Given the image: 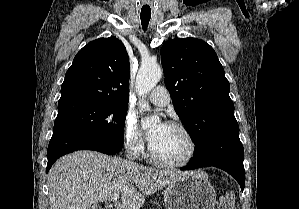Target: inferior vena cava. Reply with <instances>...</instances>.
I'll return each instance as SVG.
<instances>
[{
	"instance_id": "obj_1",
	"label": "inferior vena cava",
	"mask_w": 299,
	"mask_h": 209,
	"mask_svg": "<svg viewBox=\"0 0 299 209\" xmlns=\"http://www.w3.org/2000/svg\"><path fill=\"white\" fill-rule=\"evenodd\" d=\"M127 153H128V154H127V158H128L129 160H135V156H133V154H132L131 151H128Z\"/></svg>"
}]
</instances>
